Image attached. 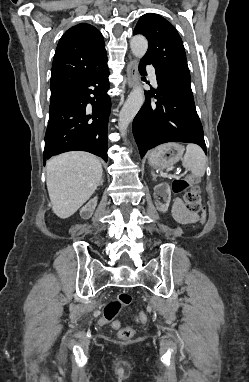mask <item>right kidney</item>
I'll list each match as a JSON object with an SVG mask.
<instances>
[{"mask_svg":"<svg viewBox=\"0 0 249 382\" xmlns=\"http://www.w3.org/2000/svg\"><path fill=\"white\" fill-rule=\"evenodd\" d=\"M96 205H97V197H94L84 207H82V209L80 210V216L83 219H89L92 216Z\"/></svg>","mask_w":249,"mask_h":382,"instance_id":"ca27d5eb","label":"right kidney"}]
</instances>
